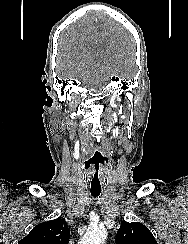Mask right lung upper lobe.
Instances as JSON below:
<instances>
[{"mask_svg":"<svg viewBox=\"0 0 188 244\" xmlns=\"http://www.w3.org/2000/svg\"><path fill=\"white\" fill-rule=\"evenodd\" d=\"M69 236L66 221L57 218L35 226L19 244H68Z\"/></svg>","mask_w":188,"mask_h":244,"instance_id":"obj_1","label":"right lung upper lobe"}]
</instances>
